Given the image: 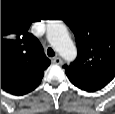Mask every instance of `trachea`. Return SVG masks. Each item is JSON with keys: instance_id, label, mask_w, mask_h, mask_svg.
<instances>
[{"instance_id": "3493384b", "label": "trachea", "mask_w": 115, "mask_h": 114, "mask_svg": "<svg viewBox=\"0 0 115 114\" xmlns=\"http://www.w3.org/2000/svg\"><path fill=\"white\" fill-rule=\"evenodd\" d=\"M47 54H48L49 57L55 56V52H54V50L52 48H48Z\"/></svg>"}]
</instances>
